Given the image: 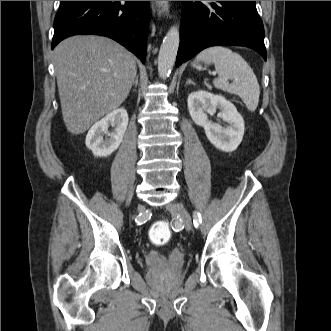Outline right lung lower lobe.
<instances>
[{"mask_svg":"<svg viewBox=\"0 0 331 331\" xmlns=\"http://www.w3.org/2000/svg\"><path fill=\"white\" fill-rule=\"evenodd\" d=\"M149 1H61L54 20L52 49L78 34L110 37L144 63Z\"/></svg>","mask_w":331,"mask_h":331,"instance_id":"1","label":"right lung lower lobe"}]
</instances>
